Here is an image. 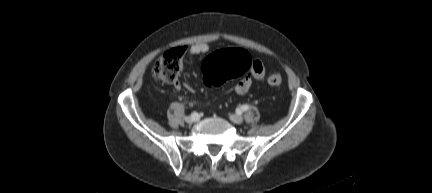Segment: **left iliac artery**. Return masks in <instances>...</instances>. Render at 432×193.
I'll return each instance as SVG.
<instances>
[{
  "instance_id": "obj_1",
  "label": "left iliac artery",
  "mask_w": 432,
  "mask_h": 193,
  "mask_svg": "<svg viewBox=\"0 0 432 193\" xmlns=\"http://www.w3.org/2000/svg\"><path fill=\"white\" fill-rule=\"evenodd\" d=\"M249 109V106L247 104L241 106L242 111H247Z\"/></svg>"
}]
</instances>
